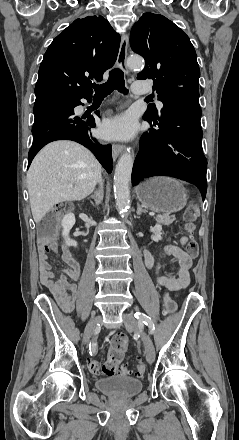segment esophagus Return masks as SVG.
Here are the masks:
<instances>
[{
    "label": "esophagus",
    "instance_id": "obj_1",
    "mask_svg": "<svg viewBox=\"0 0 239 440\" xmlns=\"http://www.w3.org/2000/svg\"><path fill=\"white\" fill-rule=\"evenodd\" d=\"M129 37L128 35H122L119 53L117 57L118 67L126 74L129 73V69L126 64L127 59V48H128ZM125 149L124 145L113 144L112 145V156L113 160H116L119 154Z\"/></svg>",
    "mask_w": 239,
    "mask_h": 440
}]
</instances>
